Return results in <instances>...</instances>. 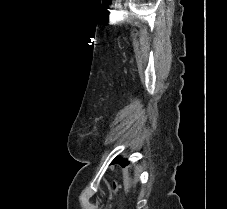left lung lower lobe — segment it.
Listing matches in <instances>:
<instances>
[{"mask_svg":"<svg viewBox=\"0 0 227 209\" xmlns=\"http://www.w3.org/2000/svg\"><path fill=\"white\" fill-rule=\"evenodd\" d=\"M125 163H127V161L126 160H124V159H121V161H120V164H125Z\"/></svg>","mask_w":227,"mask_h":209,"instance_id":"1","label":"left lung lower lobe"}]
</instances>
